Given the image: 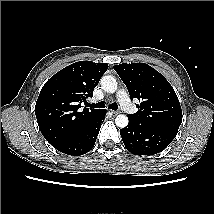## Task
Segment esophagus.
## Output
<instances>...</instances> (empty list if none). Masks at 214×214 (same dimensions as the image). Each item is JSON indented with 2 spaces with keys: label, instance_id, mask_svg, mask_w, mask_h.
<instances>
[{
  "label": "esophagus",
  "instance_id": "34e87169",
  "mask_svg": "<svg viewBox=\"0 0 214 214\" xmlns=\"http://www.w3.org/2000/svg\"><path fill=\"white\" fill-rule=\"evenodd\" d=\"M111 112H112V114H114V115H117V114L120 113V111H117V110H111Z\"/></svg>",
  "mask_w": 214,
  "mask_h": 214
}]
</instances>
